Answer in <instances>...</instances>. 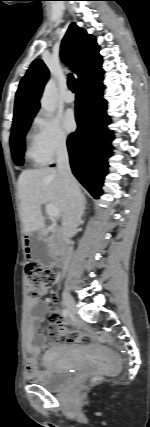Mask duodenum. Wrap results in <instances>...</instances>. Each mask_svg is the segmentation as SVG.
<instances>
[{
  "instance_id": "obj_1",
  "label": "duodenum",
  "mask_w": 150,
  "mask_h": 427,
  "mask_svg": "<svg viewBox=\"0 0 150 427\" xmlns=\"http://www.w3.org/2000/svg\"><path fill=\"white\" fill-rule=\"evenodd\" d=\"M55 242L59 252L55 257V265L57 267H64L67 263L68 252H67V241L63 239L60 235H56Z\"/></svg>"
}]
</instances>
